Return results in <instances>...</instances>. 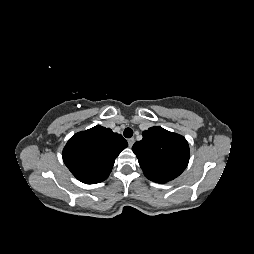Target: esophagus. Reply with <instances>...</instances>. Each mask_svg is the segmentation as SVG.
Instances as JSON below:
<instances>
[{
	"label": "esophagus",
	"instance_id": "obj_1",
	"mask_svg": "<svg viewBox=\"0 0 254 254\" xmlns=\"http://www.w3.org/2000/svg\"><path fill=\"white\" fill-rule=\"evenodd\" d=\"M134 142H135V139H134V138L128 139V144H129L130 147L133 146Z\"/></svg>",
	"mask_w": 254,
	"mask_h": 254
}]
</instances>
